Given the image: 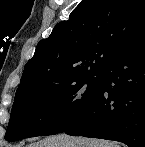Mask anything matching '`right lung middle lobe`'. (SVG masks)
Here are the masks:
<instances>
[{"label":"right lung middle lobe","instance_id":"1","mask_svg":"<svg viewBox=\"0 0 145 147\" xmlns=\"http://www.w3.org/2000/svg\"><path fill=\"white\" fill-rule=\"evenodd\" d=\"M100 84L101 73H93L56 89L16 93L5 139L13 142L63 132L90 104Z\"/></svg>","mask_w":145,"mask_h":147}]
</instances>
